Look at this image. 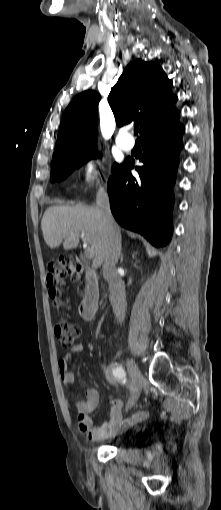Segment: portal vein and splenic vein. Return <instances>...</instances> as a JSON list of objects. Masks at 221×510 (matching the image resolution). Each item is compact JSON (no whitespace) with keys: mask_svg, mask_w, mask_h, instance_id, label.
Returning <instances> with one entry per match:
<instances>
[{"mask_svg":"<svg viewBox=\"0 0 221 510\" xmlns=\"http://www.w3.org/2000/svg\"><path fill=\"white\" fill-rule=\"evenodd\" d=\"M81 238L84 242V246L86 247L85 249V256L87 259H92L94 257V251L91 247H87V240L86 238L84 237V234L81 235Z\"/></svg>","mask_w":221,"mask_h":510,"instance_id":"18ae733b","label":"portal vein and splenic vein"}]
</instances>
